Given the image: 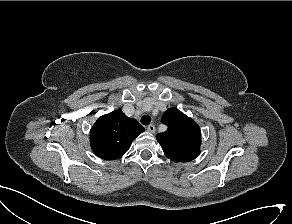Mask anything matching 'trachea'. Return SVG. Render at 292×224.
I'll use <instances>...</instances> for the list:
<instances>
[{
  "label": "trachea",
  "mask_w": 292,
  "mask_h": 224,
  "mask_svg": "<svg viewBox=\"0 0 292 224\" xmlns=\"http://www.w3.org/2000/svg\"><path fill=\"white\" fill-rule=\"evenodd\" d=\"M151 122V117L148 115H145L141 118V123L143 125H148Z\"/></svg>",
  "instance_id": "obj_1"
}]
</instances>
